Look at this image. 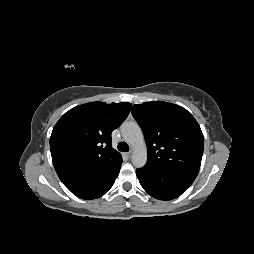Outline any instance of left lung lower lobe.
Returning <instances> with one entry per match:
<instances>
[{"mask_svg":"<svg viewBox=\"0 0 254 254\" xmlns=\"http://www.w3.org/2000/svg\"><path fill=\"white\" fill-rule=\"evenodd\" d=\"M141 186L152 197L171 200L180 196L193 183L195 177L159 170L145 165L136 170Z\"/></svg>","mask_w":254,"mask_h":254,"instance_id":"0a47b994","label":"left lung lower lobe"}]
</instances>
